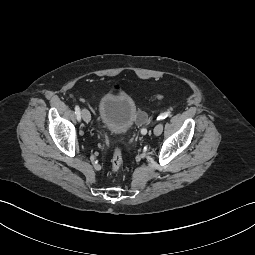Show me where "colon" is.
<instances>
[{
  "instance_id": "1",
  "label": "colon",
  "mask_w": 255,
  "mask_h": 255,
  "mask_svg": "<svg viewBox=\"0 0 255 255\" xmlns=\"http://www.w3.org/2000/svg\"><path fill=\"white\" fill-rule=\"evenodd\" d=\"M156 98L159 99V100L162 99V97L160 95H157ZM139 121L140 122H145L146 117L142 115L140 117ZM122 164H123L122 150L117 145L114 149L113 157H112V160H111V171L113 173L119 172L121 167H122Z\"/></svg>"
}]
</instances>
